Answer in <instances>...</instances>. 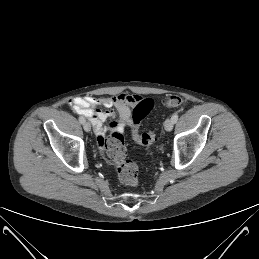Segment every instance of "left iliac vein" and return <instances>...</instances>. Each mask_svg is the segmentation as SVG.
Returning a JSON list of instances; mask_svg holds the SVG:
<instances>
[{"label":"left iliac vein","instance_id":"obj_1","mask_svg":"<svg viewBox=\"0 0 259 259\" xmlns=\"http://www.w3.org/2000/svg\"><path fill=\"white\" fill-rule=\"evenodd\" d=\"M174 122L172 119H166L164 122V128L166 131H171L173 129Z\"/></svg>","mask_w":259,"mask_h":259}]
</instances>
